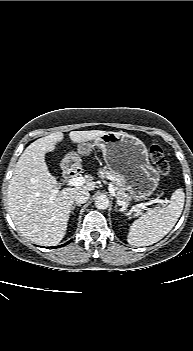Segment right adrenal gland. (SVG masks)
Listing matches in <instances>:
<instances>
[{
    "mask_svg": "<svg viewBox=\"0 0 193 351\" xmlns=\"http://www.w3.org/2000/svg\"><path fill=\"white\" fill-rule=\"evenodd\" d=\"M76 206H79V207H80L81 204H74V205L71 207V213H72V214L74 213L73 210L75 209Z\"/></svg>",
    "mask_w": 193,
    "mask_h": 351,
    "instance_id": "2a0ac1e0",
    "label": "right adrenal gland"
}]
</instances>
